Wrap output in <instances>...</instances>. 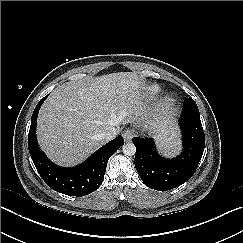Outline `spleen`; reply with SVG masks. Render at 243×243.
Listing matches in <instances>:
<instances>
[{"label":"spleen","mask_w":243,"mask_h":243,"mask_svg":"<svg viewBox=\"0 0 243 243\" xmlns=\"http://www.w3.org/2000/svg\"><path fill=\"white\" fill-rule=\"evenodd\" d=\"M162 148L166 155H174L179 151V142L172 139L162 144Z\"/></svg>","instance_id":"obj_1"}]
</instances>
